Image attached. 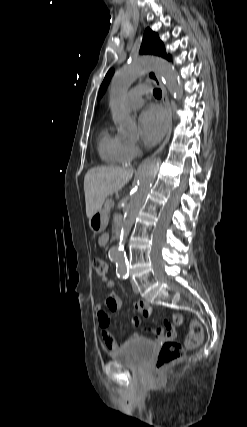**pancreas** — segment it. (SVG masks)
Segmentation results:
<instances>
[{
	"instance_id": "1",
	"label": "pancreas",
	"mask_w": 247,
	"mask_h": 427,
	"mask_svg": "<svg viewBox=\"0 0 247 427\" xmlns=\"http://www.w3.org/2000/svg\"><path fill=\"white\" fill-rule=\"evenodd\" d=\"M112 203H113V200H112L111 198H108V199L106 200V202H105V204H104V209H103V211H104L105 213H109V211H110L111 207L113 206V205H112Z\"/></svg>"
}]
</instances>
